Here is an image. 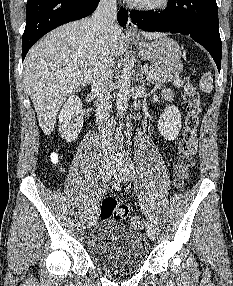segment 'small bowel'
Returning <instances> with one entry per match:
<instances>
[{"instance_id":"c3829d8e","label":"small bowel","mask_w":233,"mask_h":286,"mask_svg":"<svg viewBox=\"0 0 233 286\" xmlns=\"http://www.w3.org/2000/svg\"><path fill=\"white\" fill-rule=\"evenodd\" d=\"M163 97H164V99H166V100H171L172 97H173L172 91H170V90H164V92H163ZM115 187L119 189V188H120V185H119L118 183H115Z\"/></svg>"}]
</instances>
